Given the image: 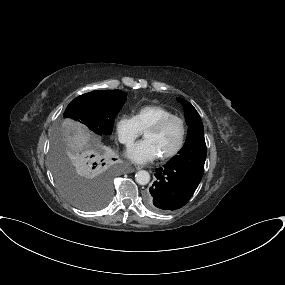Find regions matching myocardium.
Returning a JSON list of instances; mask_svg holds the SVG:
<instances>
[{
	"label": "myocardium",
	"instance_id": "f54148a6",
	"mask_svg": "<svg viewBox=\"0 0 285 285\" xmlns=\"http://www.w3.org/2000/svg\"><path fill=\"white\" fill-rule=\"evenodd\" d=\"M173 120H177L181 124V128H182L181 138H180L178 145L171 152H169L168 154L159 156V159L162 161L170 160L173 157L177 156L182 150V148L184 147L186 136H187V126H186L185 120L177 115L167 116V117H164L158 120L157 122L149 126L147 129H145L143 132V134H145L146 132H157Z\"/></svg>",
	"mask_w": 285,
	"mask_h": 285
}]
</instances>
